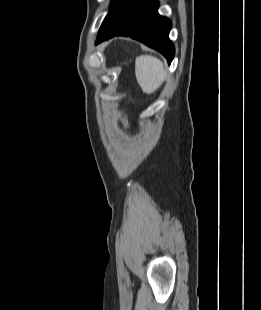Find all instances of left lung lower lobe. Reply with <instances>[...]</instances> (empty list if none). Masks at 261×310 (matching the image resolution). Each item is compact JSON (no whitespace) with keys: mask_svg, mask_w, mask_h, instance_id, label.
Instances as JSON below:
<instances>
[{"mask_svg":"<svg viewBox=\"0 0 261 310\" xmlns=\"http://www.w3.org/2000/svg\"><path fill=\"white\" fill-rule=\"evenodd\" d=\"M155 0H123L113 18L102 25L96 43L115 35L129 36L161 52L170 64L175 49L169 39L171 21L157 12Z\"/></svg>","mask_w":261,"mask_h":310,"instance_id":"1","label":"left lung lower lobe"}]
</instances>
